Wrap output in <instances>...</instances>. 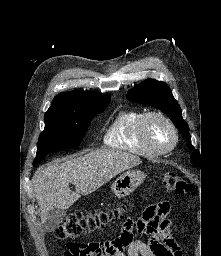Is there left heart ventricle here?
<instances>
[{"instance_id":"b2bd125f","label":"left heart ventricle","mask_w":221,"mask_h":256,"mask_svg":"<svg viewBox=\"0 0 221 256\" xmlns=\"http://www.w3.org/2000/svg\"><path fill=\"white\" fill-rule=\"evenodd\" d=\"M147 135L158 148H166L173 142V135L169 126L159 118H152L148 121Z\"/></svg>"}]
</instances>
